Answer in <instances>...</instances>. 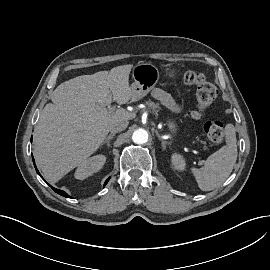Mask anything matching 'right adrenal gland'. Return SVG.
<instances>
[{
    "label": "right adrenal gland",
    "mask_w": 270,
    "mask_h": 270,
    "mask_svg": "<svg viewBox=\"0 0 270 270\" xmlns=\"http://www.w3.org/2000/svg\"><path fill=\"white\" fill-rule=\"evenodd\" d=\"M115 136V133H111L108 135V137L104 140V142L102 143V145H107V147H110V141L111 139Z\"/></svg>",
    "instance_id": "1"
}]
</instances>
